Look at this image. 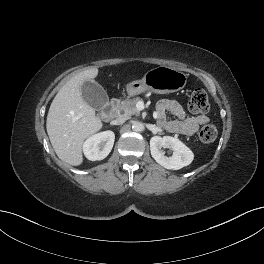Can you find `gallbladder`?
Returning a JSON list of instances; mask_svg holds the SVG:
<instances>
[{"mask_svg":"<svg viewBox=\"0 0 264 264\" xmlns=\"http://www.w3.org/2000/svg\"><path fill=\"white\" fill-rule=\"evenodd\" d=\"M81 92L83 100L97 111L105 107L109 101L104 88L93 80L84 81Z\"/></svg>","mask_w":264,"mask_h":264,"instance_id":"bac80fb5","label":"gallbladder"}]
</instances>
